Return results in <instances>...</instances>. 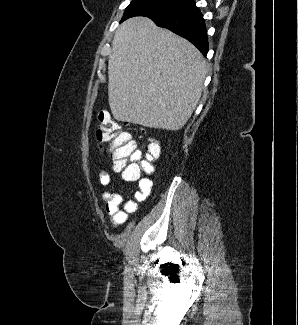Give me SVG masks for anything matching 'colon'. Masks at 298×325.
<instances>
[{
  "instance_id": "5ec220e1",
  "label": "colon",
  "mask_w": 298,
  "mask_h": 325,
  "mask_svg": "<svg viewBox=\"0 0 298 325\" xmlns=\"http://www.w3.org/2000/svg\"><path fill=\"white\" fill-rule=\"evenodd\" d=\"M96 138L101 147L110 155L114 167L122 171L126 180H136L141 174H149L155 170L154 160L160 155L156 145L149 148L146 159L136 148V144L128 132L122 130L120 123L110 112H101L98 116Z\"/></svg>"
}]
</instances>
